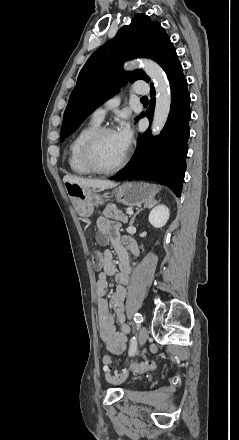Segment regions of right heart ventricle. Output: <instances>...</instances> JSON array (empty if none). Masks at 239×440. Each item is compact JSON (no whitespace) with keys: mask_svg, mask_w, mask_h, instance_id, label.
Instances as JSON below:
<instances>
[{"mask_svg":"<svg viewBox=\"0 0 239 440\" xmlns=\"http://www.w3.org/2000/svg\"><path fill=\"white\" fill-rule=\"evenodd\" d=\"M99 127V123L91 120L82 127L71 139L68 148V165L72 172L78 175H91V172L83 162L82 147L85 140Z\"/></svg>","mask_w":239,"mask_h":440,"instance_id":"1","label":"right heart ventricle"}]
</instances>
